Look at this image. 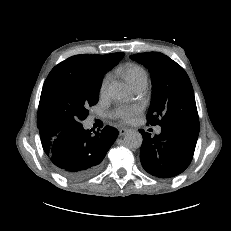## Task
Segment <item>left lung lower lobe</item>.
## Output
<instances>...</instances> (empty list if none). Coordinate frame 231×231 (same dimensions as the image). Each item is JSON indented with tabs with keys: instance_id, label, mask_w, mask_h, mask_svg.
I'll return each mask as SVG.
<instances>
[{
	"instance_id": "obj_1",
	"label": "left lung lower lobe",
	"mask_w": 231,
	"mask_h": 231,
	"mask_svg": "<svg viewBox=\"0 0 231 231\" xmlns=\"http://www.w3.org/2000/svg\"><path fill=\"white\" fill-rule=\"evenodd\" d=\"M161 128V133L155 137L139 130L143 136L140 160L149 174L159 178H171L182 173L191 163L199 128L172 125Z\"/></svg>"
}]
</instances>
